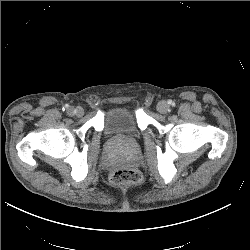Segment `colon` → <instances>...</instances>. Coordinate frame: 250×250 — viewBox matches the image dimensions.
Here are the masks:
<instances>
[{
    "mask_svg": "<svg viewBox=\"0 0 250 250\" xmlns=\"http://www.w3.org/2000/svg\"><path fill=\"white\" fill-rule=\"evenodd\" d=\"M109 180L112 184L117 186L136 184L141 181V174L134 169L121 167L110 172Z\"/></svg>",
    "mask_w": 250,
    "mask_h": 250,
    "instance_id": "colon-1",
    "label": "colon"
}]
</instances>
